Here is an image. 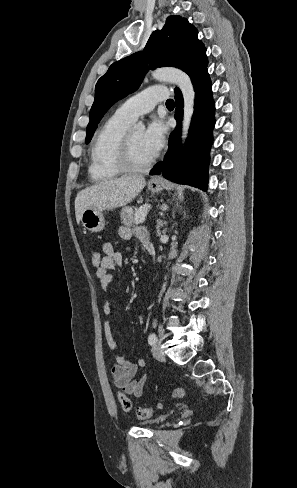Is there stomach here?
<instances>
[{"instance_id":"stomach-1","label":"stomach","mask_w":297,"mask_h":488,"mask_svg":"<svg viewBox=\"0 0 297 488\" xmlns=\"http://www.w3.org/2000/svg\"><path fill=\"white\" fill-rule=\"evenodd\" d=\"M148 188L153 193H158L162 190V184H148ZM81 222L84 228L90 232H100L105 227V220L101 210L86 209L81 215Z\"/></svg>"}]
</instances>
